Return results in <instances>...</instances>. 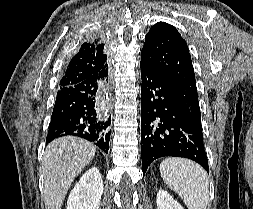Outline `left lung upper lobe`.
Here are the masks:
<instances>
[{"label": "left lung upper lobe", "instance_id": "5c2ea615", "mask_svg": "<svg viewBox=\"0 0 253 209\" xmlns=\"http://www.w3.org/2000/svg\"><path fill=\"white\" fill-rule=\"evenodd\" d=\"M140 64L159 75L170 86L185 112L201 124L190 53L175 27L165 22L151 27L145 37Z\"/></svg>", "mask_w": 253, "mask_h": 209}]
</instances>
